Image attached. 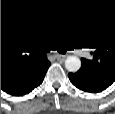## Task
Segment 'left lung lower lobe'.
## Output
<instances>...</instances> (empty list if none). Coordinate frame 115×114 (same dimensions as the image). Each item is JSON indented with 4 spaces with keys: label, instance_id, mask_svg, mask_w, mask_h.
<instances>
[{
    "label": "left lung lower lobe",
    "instance_id": "0a47b994",
    "mask_svg": "<svg viewBox=\"0 0 115 114\" xmlns=\"http://www.w3.org/2000/svg\"><path fill=\"white\" fill-rule=\"evenodd\" d=\"M72 84L85 92L97 93L108 88L114 80L86 72L69 73Z\"/></svg>",
    "mask_w": 115,
    "mask_h": 114
}]
</instances>
